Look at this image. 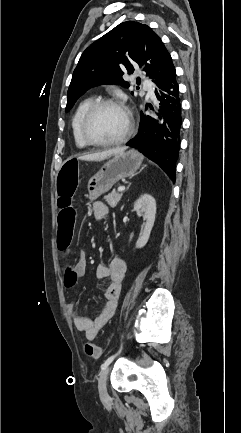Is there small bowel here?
I'll use <instances>...</instances> for the list:
<instances>
[{
	"instance_id": "1",
	"label": "small bowel",
	"mask_w": 241,
	"mask_h": 433,
	"mask_svg": "<svg viewBox=\"0 0 241 433\" xmlns=\"http://www.w3.org/2000/svg\"><path fill=\"white\" fill-rule=\"evenodd\" d=\"M61 168H63L61 166ZM57 177V176H56ZM57 181V180H56ZM56 184V182H55ZM56 188V187H55ZM57 195V190H56ZM92 212L96 219H102L109 213V207L102 201H95L92 205ZM75 222V221H74ZM127 266L120 256H113L108 265L99 264L96 268L98 279H109V285L104 293V304L99 314L94 318L85 317L76 312L74 304L68 305L69 313L77 330L84 332L88 340H93L101 328L114 315L117 308L122 283L125 277ZM86 271V255L80 251L77 262V272L84 275Z\"/></svg>"
}]
</instances>
